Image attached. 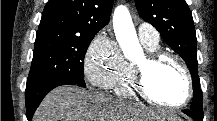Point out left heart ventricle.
Wrapping results in <instances>:
<instances>
[{
  "instance_id": "left-heart-ventricle-1",
  "label": "left heart ventricle",
  "mask_w": 217,
  "mask_h": 121,
  "mask_svg": "<svg viewBox=\"0 0 217 121\" xmlns=\"http://www.w3.org/2000/svg\"><path fill=\"white\" fill-rule=\"evenodd\" d=\"M147 83L151 94L166 104L178 103L186 94L183 72L168 59L148 71Z\"/></svg>"
}]
</instances>
